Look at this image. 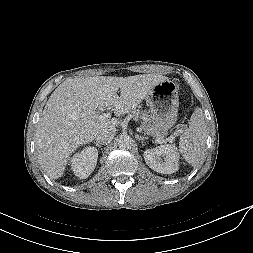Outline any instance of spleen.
I'll list each match as a JSON object with an SVG mask.
<instances>
[{
    "instance_id": "3e777b00",
    "label": "spleen",
    "mask_w": 253,
    "mask_h": 253,
    "mask_svg": "<svg viewBox=\"0 0 253 253\" xmlns=\"http://www.w3.org/2000/svg\"><path fill=\"white\" fill-rule=\"evenodd\" d=\"M206 150V124L201 108L197 107L192 114L189 127L180 137L179 151L193 167L203 163Z\"/></svg>"
}]
</instances>
